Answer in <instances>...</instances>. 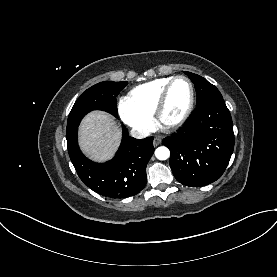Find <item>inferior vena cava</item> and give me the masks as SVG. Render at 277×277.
I'll return each instance as SVG.
<instances>
[{"mask_svg":"<svg viewBox=\"0 0 277 277\" xmlns=\"http://www.w3.org/2000/svg\"><path fill=\"white\" fill-rule=\"evenodd\" d=\"M149 131L145 130V129H132L131 130V135L134 138L137 139H143L149 136Z\"/></svg>","mask_w":277,"mask_h":277,"instance_id":"obj_1","label":"inferior vena cava"}]
</instances>
